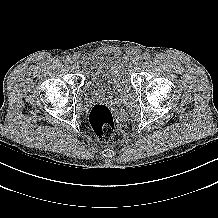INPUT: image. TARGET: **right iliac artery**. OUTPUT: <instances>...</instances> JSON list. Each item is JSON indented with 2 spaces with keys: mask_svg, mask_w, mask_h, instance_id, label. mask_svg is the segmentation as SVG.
Here are the masks:
<instances>
[{
  "mask_svg": "<svg viewBox=\"0 0 218 218\" xmlns=\"http://www.w3.org/2000/svg\"><path fill=\"white\" fill-rule=\"evenodd\" d=\"M69 60H70V57H69V56L63 57V62H64V63H68Z\"/></svg>",
  "mask_w": 218,
  "mask_h": 218,
  "instance_id": "right-iliac-artery-1",
  "label": "right iliac artery"
}]
</instances>
